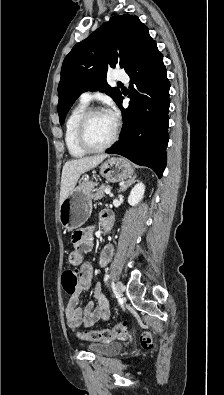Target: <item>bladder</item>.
<instances>
[{"label": "bladder", "mask_w": 224, "mask_h": 395, "mask_svg": "<svg viewBox=\"0 0 224 395\" xmlns=\"http://www.w3.org/2000/svg\"><path fill=\"white\" fill-rule=\"evenodd\" d=\"M87 349L96 355L109 356L118 354L122 350V344L120 342H96L87 345Z\"/></svg>", "instance_id": "bladder-1"}]
</instances>
